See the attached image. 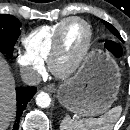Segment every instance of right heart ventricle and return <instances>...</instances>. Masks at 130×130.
Listing matches in <instances>:
<instances>
[{"label": "right heart ventricle", "instance_id": "obj_1", "mask_svg": "<svg viewBox=\"0 0 130 130\" xmlns=\"http://www.w3.org/2000/svg\"><path fill=\"white\" fill-rule=\"evenodd\" d=\"M63 19L51 25L38 27L23 37L22 43L32 57L45 62L51 53L55 37L59 29L66 22Z\"/></svg>", "mask_w": 130, "mask_h": 130}]
</instances>
